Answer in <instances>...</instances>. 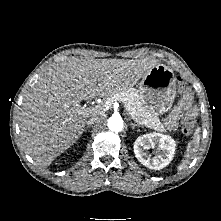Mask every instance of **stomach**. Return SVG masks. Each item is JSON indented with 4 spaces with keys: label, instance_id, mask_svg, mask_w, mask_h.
I'll list each match as a JSON object with an SVG mask.
<instances>
[{
    "label": "stomach",
    "instance_id": "stomach-1",
    "mask_svg": "<svg viewBox=\"0 0 221 221\" xmlns=\"http://www.w3.org/2000/svg\"><path fill=\"white\" fill-rule=\"evenodd\" d=\"M138 94L144 108L154 114L168 112L176 97V79L172 69L157 64L139 82Z\"/></svg>",
    "mask_w": 221,
    "mask_h": 221
}]
</instances>
